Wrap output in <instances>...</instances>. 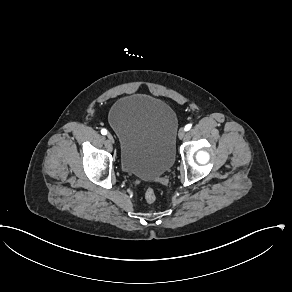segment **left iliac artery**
Returning a JSON list of instances; mask_svg holds the SVG:
<instances>
[{
	"label": "left iliac artery",
	"mask_w": 292,
	"mask_h": 292,
	"mask_svg": "<svg viewBox=\"0 0 292 292\" xmlns=\"http://www.w3.org/2000/svg\"><path fill=\"white\" fill-rule=\"evenodd\" d=\"M192 125L191 124H187L184 128L185 131H189L191 129Z\"/></svg>",
	"instance_id": "obj_1"
}]
</instances>
